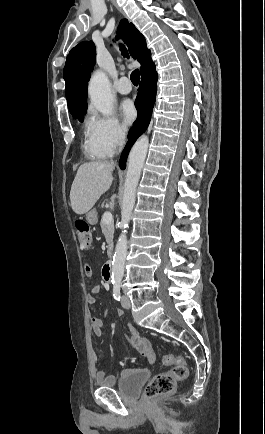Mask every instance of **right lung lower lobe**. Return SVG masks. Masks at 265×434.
Here are the masks:
<instances>
[{
    "instance_id": "obj_1",
    "label": "right lung lower lobe",
    "mask_w": 265,
    "mask_h": 434,
    "mask_svg": "<svg viewBox=\"0 0 265 434\" xmlns=\"http://www.w3.org/2000/svg\"><path fill=\"white\" fill-rule=\"evenodd\" d=\"M140 72L142 80L138 89L137 98L135 100V106L138 110V117L131 132L129 133V141L121 155V169L125 168V162L131 146L147 129L156 99L157 73L155 70V64L151 58L145 60L141 64Z\"/></svg>"
}]
</instances>
